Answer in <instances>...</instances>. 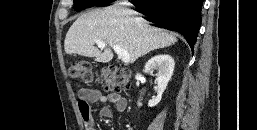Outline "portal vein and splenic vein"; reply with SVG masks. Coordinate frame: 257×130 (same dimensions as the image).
Wrapping results in <instances>:
<instances>
[{
  "label": "portal vein and splenic vein",
  "mask_w": 257,
  "mask_h": 130,
  "mask_svg": "<svg viewBox=\"0 0 257 130\" xmlns=\"http://www.w3.org/2000/svg\"><path fill=\"white\" fill-rule=\"evenodd\" d=\"M97 45H98L99 48L103 49L107 46V43L102 42V41H97ZM109 46H111L113 48L115 53L118 55V58H120L124 63H129L130 62L131 57L126 50L122 49L118 45L109 44Z\"/></svg>",
  "instance_id": "18ae733b"
}]
</instances>
